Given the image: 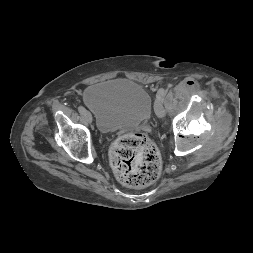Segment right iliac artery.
I'll use <instances>...</instances> for the list:
<instances>
[{
    "label": "right iliac artery",
    "instance_id": "82829eb1",
    "mask_svg": "<svg viewBox=\"0 0 253 253\" xmlns=\"http://www.w3.org/2000/svg\"><path fill=\"white\" fill-rule=\"evenodd\" d=\"M78 111L80 114H84V112L86 111V109L83 106H79L78 107Z\"/></svg>",
    "mask_w": 253,
    "mask_h": 253
}]
</instances>
